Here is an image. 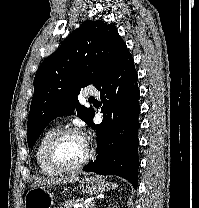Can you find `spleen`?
<instances>
[{
	"mask_svg": "<svg viewBox=\"0 0 199 208\" xmlns=\"http://www.w3.org/2000/svg\"><path fill=\"white\" fill-rule=\"evenodd\" d=\"M112 187H113V189H116V187H118V186H117V184L112 183Z\"/></svg>",
	"mask_w": 199,
	"mask_h": 208,
	"instance_id": "spleen-1",
	"label": "spleen"
}]
</instances>
